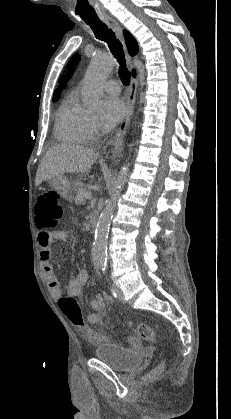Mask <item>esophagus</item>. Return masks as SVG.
<instances>
[{
    "label": "esophagus",
    "mask_w": 231,
    "mask_h": 419,
    "mask_svg": "<svg viewBox=\"0 0 231 419\" xmlns=\"http://www.w3.org/2000/svg\"><path fill=\"white\" fill-rule=\"evenodd\" d=\"M105 22L108 24L110 28H112L116 32L117 36L120 38V40L122 41L124 45L123 30L120 24L114 18L110 16L105 17ZM126 57H127V62L130 69H133L132 58L130 57L127 51H126ZM137 88H138V81L136 78L132 77L129 91H128L127 109H126L125 116L120 122L118 128L115 130V133L109 142V144L112 146L111 154L113 158H117L123 151L124 137L128 130L131 117L133 115Z\"/></svg>",
    "instance_id": "obj_1"
}]
</instances>
